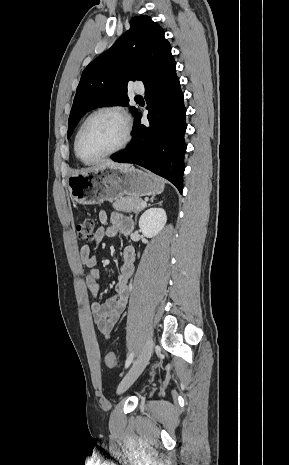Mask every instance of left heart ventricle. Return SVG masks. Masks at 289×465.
<instances>
[{
    "mask_svg": "<svg viewBox=\"0 0 289 465\" xmlns=\"http://www.w3.org/2000/svg\"><path fill=\"white\" fill-rule=\"evenodd\" d=\"M124 138L122 121L112 115L93 117L85 126L79 144L83 158L91 160L116 148Z\"/></svg>",
    "mask_w": 289,
    "mask_h": 465,
    "instance_id": "left-heart-ventricle-1",
    "label": "left heart ventricle"
}]
</instances>
